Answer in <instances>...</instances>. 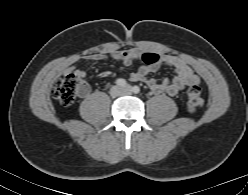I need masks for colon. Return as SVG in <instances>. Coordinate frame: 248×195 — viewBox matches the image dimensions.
<instances>
[{
    "label": "colon",
    "instance_id": "obj_1",
    "mask_svg": "<svg viewBox=\"0 0 248 195\" xmlns=\"http://www.w3.org/2000/svg\"><path fill=\"white\" fill-rule=\"evenodd\" d=\"M136 59L147 65H152L159 60V56L154 53H140ZM87 89L85 83L81 82L77 75L69 73L57 79L51 89L53 97L62 105L69 106L74 103L79 94H83ZM203 106L201 89L197 85H192L187 90V108L190 113H194Z\"/></svg>",
    "mask_w": 248,
    "mask_h": 195
}]
</instances>
